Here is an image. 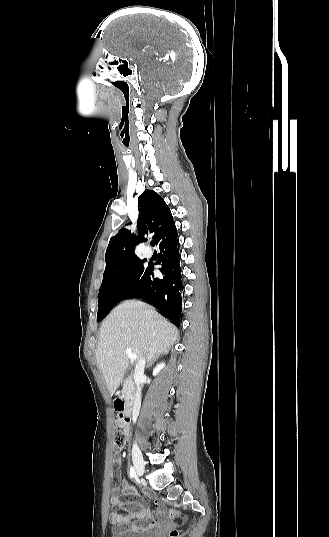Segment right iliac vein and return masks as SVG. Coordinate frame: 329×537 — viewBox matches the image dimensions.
Segmentation results:
<instances>
[{
	"mask_svg": "<svg viewBox=\"0 0 329 537\" xmlns=\"http://www.w3.org/2000/svg\"><path fill=\"white\" fill-rule=\"evenodd\" d=\"M133 462L137 475L142 476L144 473L145 463L137 448H135L133 451Z\"/></svg>",
	"mask_w": 329,
	"mask_h": 537,
	"instance_id": "63e3f726",
	"label": "right iliac vein"
}]
</instances>
